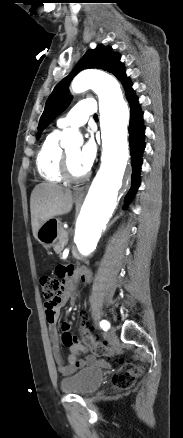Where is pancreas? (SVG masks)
Returning a JSON list of instances; mask_svg holds the SVG:
<instances>
[{
    "mask_svg": "<svg viewBox=\"0 0 183 438\" xmlns=\"http://www.w3.org/2000/svg\"><path fill=\"white\" fill-rule=\"evenodd\" d=\"M67 243H68V232L62 229L60 236L58 238V242L54 245V251L56 252V254L61 255Z\"/></svg>",
    "mask_w": 183,
    "mask_h": 438,
    "instance_id": "pancreas-1",
    "label": "pancreas"
}]
</instances>
